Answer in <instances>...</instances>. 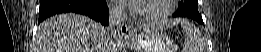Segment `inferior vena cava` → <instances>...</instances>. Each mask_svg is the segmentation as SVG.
<instances>
[{"instance_id": "1", "label": "inferior vena cava", "mask_w": 261, "mask_h": 52, "mask_svg": "<svg viewBox=\"0 0 261 52\" xmlns=\"http://www.w3.org/2000/svg\"><path fill=\"white\" fill-rule=\"evenodd\" d=\"M126 17L125 8L122 5H114L113 7L109 8V22L111 25V29L115 26H119L121 22ZM106 39L109 42L108 49L104 50V52H110L111 49L114 47V42L111 40L109 31L106 32Z\"/></svg>"}]
</instances>
